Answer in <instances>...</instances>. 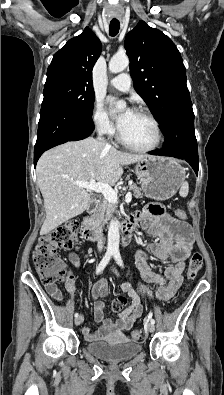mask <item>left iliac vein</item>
I'll list each match as a JSON object with an SVG mask.
<instances>
[{
	"label": "left iliac vein",
	"mask_w": 224,
	"mask_h": 395,
	"mask_svg": "<svg viewBox=\"0 0 224 395\" xmlns=\"http://www.w3.org/2000/svg\"><path fill=\"white\" fill-rule=\"evenodd\" d=\"M115 274L118 275L117 271H115ZM147 329H148L149 332H154L155 325L153 323H148L147 324Z\"/></svg>",
	"instance_id": "4c4485c4"
}]
</instances>
